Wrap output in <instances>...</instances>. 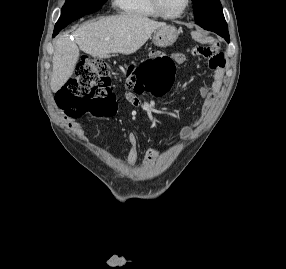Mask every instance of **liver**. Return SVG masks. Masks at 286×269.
Returning <instances> with one entry per match:
<instances>
[{
    "mask_svg": "<svg viewBox=\"0 0 286 269\" xmlns=\"http://www.w3.org/2000/svg\"><path fill=\"white\" fill-rule=\"evenodd\" d=\"M165 25L143 15H118L83 24L75 31L74 41L68 35H61L55 43L51 90L56 93L72 76L79 50L99 58H106L111 53L129 55Z\"/></svg>",
    "mask_w": 286,
    "mask_h": 269,
    "instance_id": "liver-1",
    "label": "liver"
}]
</instances>
